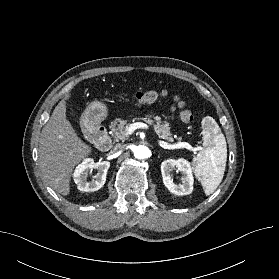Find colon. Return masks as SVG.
Returning a JSON list of instances; mask_svg holds the SVG:
<instances>
[{"instance_id":"1","label":"colon","mask_w":279,"mask_h":279,"mask_svg":"<svg viewBox=\"0 0 279 279\" xmlns=\"http://www.w3.org/2000/svg\"><path fill=\"white\" fill-rule=\"evenodd\" d=\"M167 95L166 91L164 90H147V91H140L135 94V101L139 105H145L153 103ZM174 102L176 107L179 110V116L182 121L189 123L194 120V115L189 110L185 103L178 97H174Z\"/></svg>"}]
</instances>
